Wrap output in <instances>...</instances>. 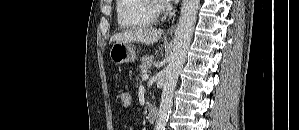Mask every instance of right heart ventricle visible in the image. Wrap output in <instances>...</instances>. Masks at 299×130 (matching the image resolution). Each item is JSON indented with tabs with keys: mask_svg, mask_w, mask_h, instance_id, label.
Instances as JSON below:
<instances>
[{
	"mask_svg": "<svg viewBox=\"0 0 299 130\" xmlns=\"http://www.w3.org/2000/svg\"><path fill=\"white\" fill-rule=\"evenodd\" d=\"M117 21L123 28L148 27L156 21L150 8V0H118Z\"/></svg>",
	"mask_w": 299,
	"mask_h": 130,
	"instance_id": "1",
	"label": "right heart ventricle"
}]
</instances>
